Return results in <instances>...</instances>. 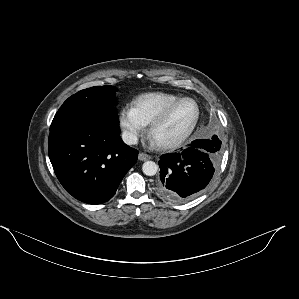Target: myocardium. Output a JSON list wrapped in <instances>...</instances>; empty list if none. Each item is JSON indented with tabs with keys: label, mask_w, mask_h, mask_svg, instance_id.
<instances>
[{
	"label": "myocardium",
	"mask_w": 299,
	"mask_h": 299,
	"mask_svg": "<svg viewBox=\"0 0 299 299\" xmlns=\"http://www.w3.org/2000/svg\"><path fill=\"white\" fill-rule=\"evenodd\" d=\"M184 101H191L194 103L195 107H196V115L195 118L192 122V124L190 125V127L188 128V130L183 133L182 135H180L179 137L170 140V141H166V142H156L157 146L161 149H173L176 148L178 146H180L181 144H183L190 136L191 134L194 132L199 120H200V116H201V108L200 105L198 104V102L191 98V97H181L177 100H175L174 102L170 103L169 105H167L162 111L161 113L151 122L150 124V130H149V134L150 137L153 139L154 137V133L156 131V129L163 123L166 121V119L169 117V115L171 114V112L182 102Z\"/></svg>",
	"instance_id": "obj_1"
}]
</instances>
